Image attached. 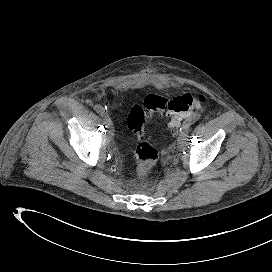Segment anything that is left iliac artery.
Instances as JSON below:
<instances>
[{"instance_id": "1", "label": "left iliac artery", "mask_w": 272, "mask_h": 272, "mask_svg": "<svg viewBox=\"0 0 272 272\" xmlns=\"http://www.w3.org/2000/svg\"><path fill=\"white\" fill-rule=\"evenodd\" d=\"M199 119L198 115H194L191 119L184 122L182 128H180V132H182L184 129L189 128L192 124H194Z\"/></svg>"}]
</instances>
